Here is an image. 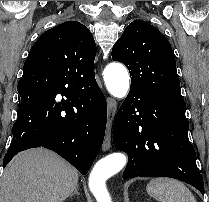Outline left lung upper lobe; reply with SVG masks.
<instances>
[{"mask_svg":"<svg viewBox=\"0 0 209 202\" xmlns=\"http://www.w3.org/2000/svg\"><path fill=\"white\" fill-rule=\"evenodd\" d=\"M112 58L128 68L131 89L184 102L172 47L150 23L135 20L129 24L113 46Z\"/></svg>","mask_w":209,"mask_h":202,"instance_id":"5c2ea615","label":"left lung upper lobe"}]
</instances>
